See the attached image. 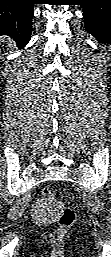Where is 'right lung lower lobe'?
Here are the masks:
<instances>
[{
	"label": "right lung lower lobe",
	"instance_id": "1",
	"mask_svg": "<svg viewBox=\"0 0 111 257\" xmlns=\"http://www.w3.org/2000/svg\"><path fill=\"white\" fill-rule=\"evenodd\" d=\"M33 0H0V34L13 38L19 47L30 40Z\"/></svg>",
	"mask_w": 111,
	"mask_h": 257
}]
</instances>
